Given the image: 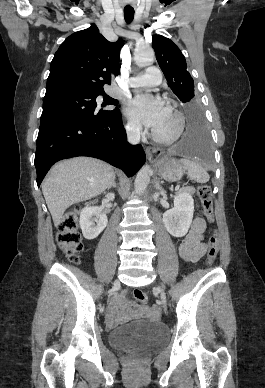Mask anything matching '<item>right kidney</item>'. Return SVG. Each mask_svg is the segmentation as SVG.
Instances as JSON below:
<instances>
[{
    "label": "right kidney",
    "instance_id": "1",
    "mask_svg": "<svg viewBox=\"0 0 265 388\" xmlns=\"http://www.w3.org/2000/svg\"><path fill=\"white\" fill-rule=\"evenodd\" d=\"M108 200H114V194H107ZM94 204V202H91ZM96 222V224H95ZM108 224L106 214H102L101 208L98 206H89L83 208L80 214V228L86 240H95Z\"/></svg>",
    "mask_w": 265,
    "mask_h": 388
}]
</instances>
